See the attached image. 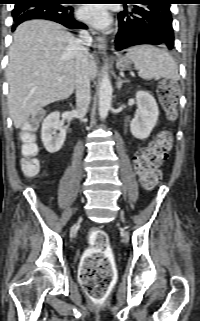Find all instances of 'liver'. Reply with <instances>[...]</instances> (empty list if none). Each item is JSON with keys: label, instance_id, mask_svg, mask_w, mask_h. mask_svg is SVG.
Returning a JSON list of instances; mask_svg holds the SVG:
<instances>
[{"label": "liver", "instance_id": "liver-1", "mask_svg": "<svg viewBox=\"0 0 200 321\" xmlns=\"http://www.w3.org/2000/svg\"><path fill=\"white\" fill-rule=\"evenodd\" d=\"M76 40L63 26L46 20L26 21L17 27L6 69L8 106L15 128L36 111L73 93ZM88 70L94 79L97 65L92 55Z\"/></svg>", "mask_w": 200, "mask_h": 321}]
</instances>
